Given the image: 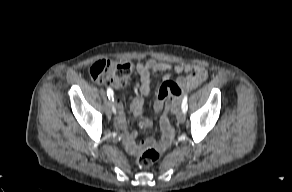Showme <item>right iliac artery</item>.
Returning <instances> with one entry per match:
<instances>
[{
	"mask_svg": "<svg viewBox=\"0 0 292 192\" xmlns=\"http://www.w3.org/2000/svg\"><path fill=\"white\" fill-rule=\"evenodd\" d=\"M107 95L110 100H114V92L111 88H107ZM113 111L115 112L114 107H112Z\"/></svg>",
	"mask_w": 292,
	"mask_h": 192,
	"instance_id": "obj_1",
	"label": "right iliac artery"
}]
</instances>
